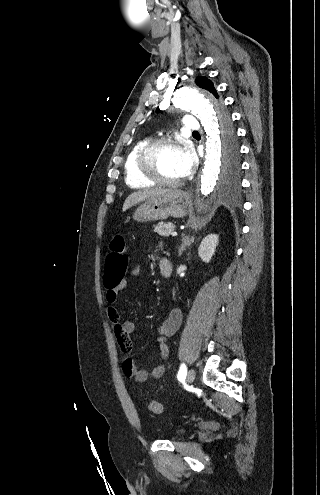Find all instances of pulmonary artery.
Wrapping results in <instances>:
<instances>
[{
  "mask_svg": "<svg viewBox=\"0 0 320 495\" xmlns=\"http://www.w3.org/2000/svg\"><path fill=\"white\" fill-rule=\"evenodd\" d=\"M183 129L186 131H198L200 124L193 116H185L183 118Z\"/></svg>",
  "mask_w": 320,
  "mask_h": 495,
  "instance_id": "obj_1",
  "label": "pulmonary artery"
}]
</instances>
